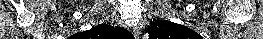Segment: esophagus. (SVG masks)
Returning a JSON list of instances; mask_svg holds the SVG:
<instances>
[{
	"label": "esophagus",
	"instance_id": "34e87169",
	"mask_svg": "<svg viewBox=\"0 0 263 39\" xmlns=\"http://www.w3.org/2000/svg\"><path fill=\"white\" fill-rule=\"evenodd\" d=\"M133 33H134L135 39H139L140 38V32H139V30L137 28H134Z\"/></svg>",
	"mask_w": 263,
	"mask_h": 39
}]
</instances>
